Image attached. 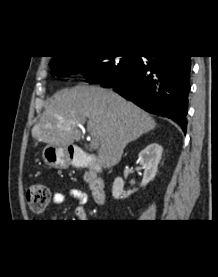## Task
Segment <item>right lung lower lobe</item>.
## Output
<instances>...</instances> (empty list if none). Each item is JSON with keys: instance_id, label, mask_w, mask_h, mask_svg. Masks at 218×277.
<instances>
[{"instance_id": "1", "label": "right lung lower lobe", "mask_w": 218, "mask_h": 277, "mask_svg": "<svg viewBox=\"0 0 218 277\" xmlns=\"http://www.w3.org/2000/svg\"><path fill=\"white\" fill-rule=\"evenodd\" d=\"M190 69V56H139L116 82H92L112 87L144 110L168 117L186 131Z\"/></svg>"}]
</instances>
